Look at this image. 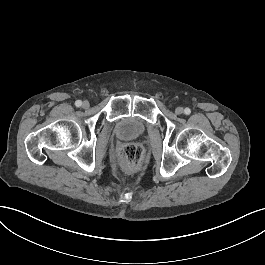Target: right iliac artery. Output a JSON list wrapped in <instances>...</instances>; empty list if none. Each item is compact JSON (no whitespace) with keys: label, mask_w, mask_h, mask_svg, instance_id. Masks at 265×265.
I'll list each match as a JSON object with an SVG mask.
<instances>
[{"label":"right iliac artery","mask_w":265,"mask_h":265,"mask_svg":"<svg viewBox=\"0 0 265 265\" xmlns=\"http://www.w3.org/2000/svg\"><path fill=\"white\" fill-rule=\"evenodd\" d=\"M75 105H76L77 107H80V106L82 105V101H81V100H77V101L75 102Z\"/></svg>","instance_id":"1"}]
</instances>
